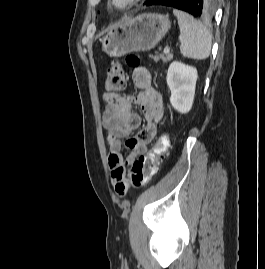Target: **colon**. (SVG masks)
Masks as SVG:
<instances>
[{"label": "colon", "instance_id": "5ec220e1", "mask_svg": "<svg viewBox=\"0 0 265 269\" xmlns=\"http://www.w3.org/2000/svg\"><path fill=\"white\" fill-rule=\"evenodd\" d=\"M126 63L131 67H136L139 64V60L135 55H128ZM126 83L127 74L123 66L118 61H114L107 70V77L104 83L105 91L108 93H119L125 89ZM169 144V137L166 134L160 135L153 148L133 162L127 186H119L117 193L123 196L128 187L136 189L146 185L156 174L159 163L165 156Z\"/></svg>", "mask_w": 265, "mask_h": 269}]
</instances>
